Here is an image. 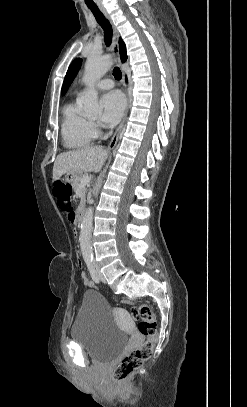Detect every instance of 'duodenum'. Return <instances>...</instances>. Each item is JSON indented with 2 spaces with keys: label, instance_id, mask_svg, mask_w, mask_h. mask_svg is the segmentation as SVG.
<instances>
[{
  "label": "duodenum",
  "instance_id": "obj_1",
  "mask_svg": "<svg viewBox=\"0 0 247 407\" xmlns=\"http://www.w3.org/2000/svg\"><path fill=\"white\" fill-rule=\"evenodd\" d=\"M84 215H85V209L84 208H80L79 210H78V213H77V221L79 222V223H81L82 222V220H83V218H84Z\"/></svg>",
  "mask_w": 247,
  "mask_h": 407
}]
</instances>
